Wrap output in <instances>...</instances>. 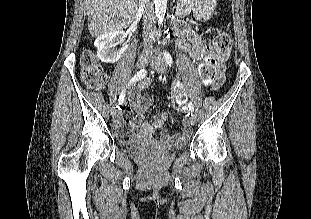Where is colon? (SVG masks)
Returning a JSON list of instances; mask_svg holds the SVG:
<instances>
[{
    "mask_svg": "<svg viewBox=\"0 0 311 219\" xmlns=\"http://www.w3.org/2000/svg\"><path fill=\"white\" fill-rule=\"evenodd\" d=\"M232 48V39L227 33H219L204 43L205 60L200 66V77L204 83H209L217 75L223 79L222 64L228 59ZM81 78L90 87H100L106 80L96 55L91 50H85L81 56ZM126 128V127H124ZM122 140H129L130 136L120 135Z\"/></svg>",
    "mask_w": 311,
    "mask_h": 219,
    "instance_id": "obj_1",
    "label": "colon"
}]
</instances>
